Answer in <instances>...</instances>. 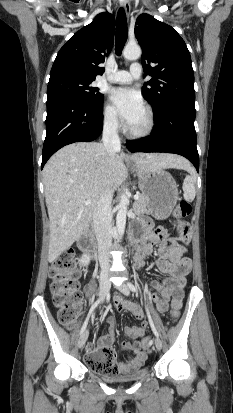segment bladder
<instances>
[{
	"mask_svg": "<svg viewBox=\"0 0 233 413\" xmlns=\"http://www.w3.org/2000/svg\"><path fill=\"white\" fill-rule=\"evenodd\" d=\"M148 373V369L144 366H138L133 368H128L120 373L114 375H107L98 373L102 378L109 382H128L132 380H137L144 377Z\"/></svg>",
	"mask_w": 233,
	"mask_h": 413,
	"instance_id": "bladder-1",
	"label": "bladder"
}]
</instances>
